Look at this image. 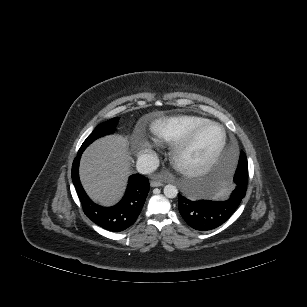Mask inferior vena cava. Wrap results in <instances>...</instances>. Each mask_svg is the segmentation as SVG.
Instances as JSON below:
<instances>
[{
	"instance_id": "602c4592",
	"label": "inferior vena cava",
	"mask_w": 307,
	"mask_h": 307,
	"mask_svg": "<svg viewBox=\"0 0 307 307\" xmlns=\"http://www.w3.org/2000/svg\"><path fill=\"white\" fill-rule=\"evenodd\" d=\"M159 166V159L156 154H143L138 157L136 169L141 174H149L154 172Z\"/></svg>"
}]
</instances>
